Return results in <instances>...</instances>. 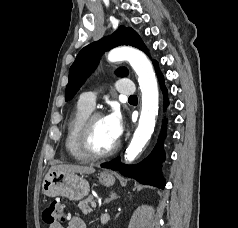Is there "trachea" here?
Returning a JSON list of instances; mask_svg holds the SVG:
<instances>
[{"label":"trachea","instance_id":"trachea-1","mask_svg":"<svg viewBox=\"0 0 238 228\" xmlns=\"http://www.w3.org/2000/svg\"><path fill=\"white\" fill-rule=\"evenodd\" d=\"M134 99H137L136 95H132V96L129 97V100H134Z\"/></svg>","mask_w":238,"mask_h":228}]
</instances>
